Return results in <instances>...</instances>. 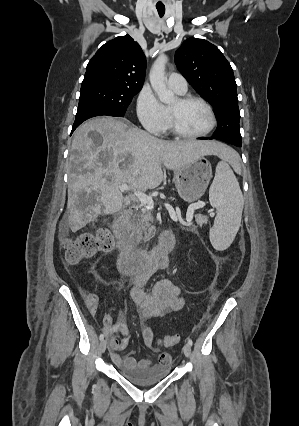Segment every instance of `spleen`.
Segmentation results:
<instances>
[{
	"label": "spleen",
	"instance_id": "obj_1",
	"mask_svg": "<svg viewBox=\"0 0 299 426\" xmlns=\"http://www.w3.org/2000/svg\"><path fill=\"white\" fill-rule=\"evenodd\" d=\"M209 201L217 210L210 241L216 250L223 251L231 245L239 230L244 204L239 183L225 160L217 164Z\"/></svg>",
	"mask_w": 299,
	"mask_h": 426
}]
</instances>
